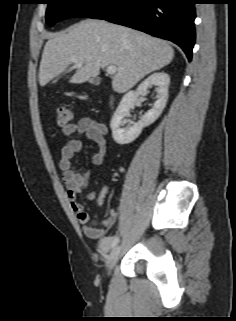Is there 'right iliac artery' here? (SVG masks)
Listing matches in <instances>:
<instances>
[{
  "label": "right iliac artery",
  "instance_id": "right-iliac-artery-1",
  "mask_svg": "<svg viewBox=\"0 0 236 321\" xmlns=\"http://www.w3.org/2000/svg\"><path fill=\"white\" fill-rule=\"evenodd\" d=\"M118 240H119L118 237H115V238L112 240L110 247H111V248H114V247L116 246V244L118 243Z\"/></svg>",
  "mask_w": 236,
  "mask_h": 321
}]
</instances>
